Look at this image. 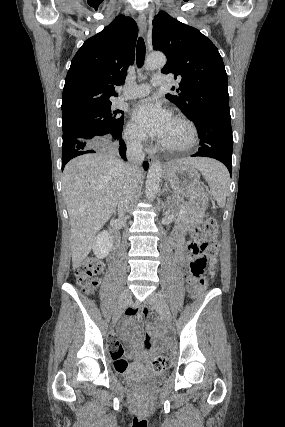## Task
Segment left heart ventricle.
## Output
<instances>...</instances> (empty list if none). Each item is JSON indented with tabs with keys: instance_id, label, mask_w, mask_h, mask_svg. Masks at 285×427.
<instances>
[{
	"instance_id": "b2bd125f",
	"label": "left heart ventricle",
	"mask_w": 285,
	"mask_h": 427,
	"mask_svg": "<svg viewBox=\"0 0 285 427\" xmlns=\"http://www.w3.org/2000/svg\"><path fill=\"white\" fill-rule=\"evenodd\" d=\"M190 134L185 124L172 118L164 142L174 145L182 146L189 142Z\"/></svg>"
}]
</instances>
